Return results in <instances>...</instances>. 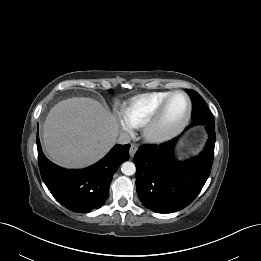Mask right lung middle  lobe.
Listing matches in <instances>:
<instances>
[{"instance_id":"obj_1","label":"right lung middle lobe","mask_w":261,"mask_h":261,"mask_svg":"<svg viewBox=\"0 0 261 261\" xmlns=\"http://www.w3.org/2000/svg\"><path fill=\"white\" fill-rule=\"evenodd\" d=\"M109 92L111 93V92H112V90H111V89H109Z\"/></svg>"}]
</instances>
